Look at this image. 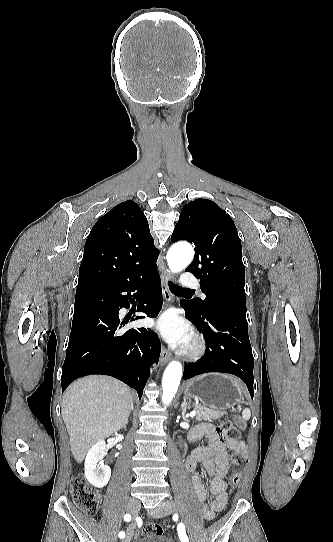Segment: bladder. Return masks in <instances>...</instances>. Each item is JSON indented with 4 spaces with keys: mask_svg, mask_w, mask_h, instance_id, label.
Masks as SVG:
<instances>
[{
    "mask_svg": "<svg viewBox=\"0 0 333 542\" xmlns=\"http://www.w3.org/2000/svg\"><path fill=\"white\" fill-rule=\"evenodd\" d=\"M135 542H174L170 537L161 534H148L138 538Z\"/></svg>",
    "mask_w": 333,
    "mask_h": 542,
    "instance_id": "bladder-1",
    "label": "bladder"
}]
</instances>
